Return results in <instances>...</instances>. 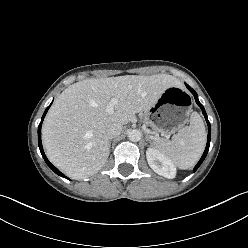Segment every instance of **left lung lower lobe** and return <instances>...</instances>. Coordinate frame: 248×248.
<instances>
[{
    "instance_id": "0a47b994",
    "label": "left lung lower lobe",
    "mask_w": 248,
    "mask_h": 248,
    "mask_svg": "<svg viewBox=\"0 0 248 248\" xmlns=\"http://www.w3.org/2000/svg\"><path fill=\"white\" fill-rule=\"evenodd\" d=\"M186 87L191 91V93L194 95L195 97V101L198 104V106L202 109V113L204 114V117L206 119L207 125H208V138H207V145L205 148V151L201 157V159L199 160V162L197 163V165L194 168V172L198 169V167L202 164V162L204 161L205 157L207 156L208 150H209V145H210V139H211V126H210V122L208 121L207 118V114L205 112V109L203 108V105L199 102L198 100V95L197 93L189 86L186 84Z\"/></svg>"
}]
</instances>
